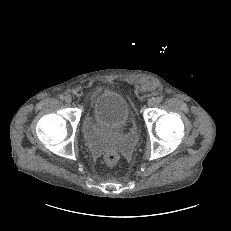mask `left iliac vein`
I'll use <instances>...</instances> for the list:
<instances>
[{
    "label": "left iliac vein",
    "instance_id": "4c4485c4",
    "mask_svg": "<svg viewBox=\"0 0 231 231\" xmlns=\"http://www.w3.org/2000/svg\"><path fill=\"white\" fill-rule=\"evenodd\" d=\"M156 104V101L154 98H151L148 100V106L153 107Z\"/></svg>",
    "mask_w": 231,
    "mask_h": 231
}]
</instances>
